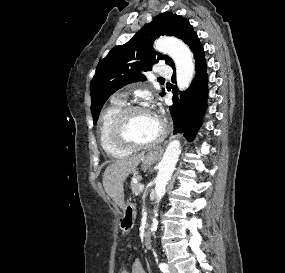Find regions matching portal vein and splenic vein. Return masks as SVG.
<instances>
[{"label": "portal vein and splenic vein", "mask_w": 285, "mask_h": 273, "mask_svg": "<svg viewBox=\"0 0 285 273\" xmlns=\"http://www.w3.org/2000/svg\"><path fill=\"white\" fill-rule=\"evenodd\" d=\"M139 190H140V191H143V190H144V185H143V184H141V185L139 186Z\"/></svg>", "instance_id": "1"}]
</instances>
